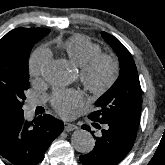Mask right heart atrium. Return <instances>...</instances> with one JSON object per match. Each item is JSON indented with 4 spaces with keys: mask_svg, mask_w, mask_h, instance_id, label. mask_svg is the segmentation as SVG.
Returning a JSON list of instances; mask_svg holds the SVG:
<instances>
[{
    "mask_svg": "<svg viewBox=\"0 0 165 165\" xmlns=\"http://www.w3.org/2000/svg\"><path fill=\"white\" fill-rule=\"evenodd\" d=\"M51 59L50 51L45 47H40L34 51L29 62V72L33 78H38L42 75L45 67Z\"/></svg>",
    "mask_w": 165,
    "mask_h": 165,
    "instance_id": "right-heart-atrium-1",
    "label": "right heart atrium"
}]
</instances>
